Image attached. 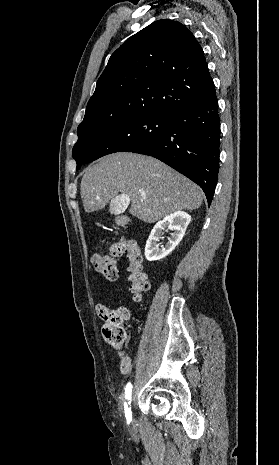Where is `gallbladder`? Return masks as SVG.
<instances>
[{"mask_svg":"<svg viewBox=\"0 0 279 465\" xmlns=\"http://www.w3.org/2000/svg\"><path fill=\"white\" fill-rule=\"evenodd\" d=\"M128 200L125 197L117 196L111 200V210L113 214H121L128 206Z\"/></svg>","mask_w":279,"mask_h":465,"instance_id":"gallbladder-1","label":"gallbladder"}]
</instances>
